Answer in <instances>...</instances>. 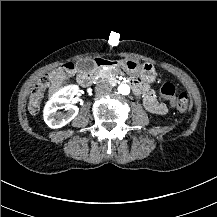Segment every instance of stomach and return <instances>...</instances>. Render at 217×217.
<instances>
[{"instance_id":"1","label":"stomach","mask_w":217,"mask_h":217,"mask_svg":"<svg viewBox=\"0 0 217 217\" xmlns=\"http://www.w3.org/2000/svg\"><path fill=\"white\" fill-rule=\"evenodd\" d=\"M120 67L128 74L136 75L147 84H153L156 80V69L154 64L149 62L140 63L134 59H124Z\"/></svg>"}]
</instances>
